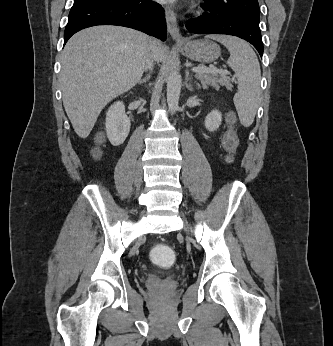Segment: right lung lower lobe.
Wrapping results in <instances>:
<instances>
[{"label":"right lung lower lobe","mask_w":333,"mask_h":346,"mask_svg":"<svg viewBox=\"0 0 333 346\" xmlns=\"http://www.w3.org/2000/svg\"><path fill=\"white\" fill-rule=\"evenodd\" d=\"M96 25H117L166 40L164 9L152 0L75 1L64 31V45L76 32Z\"/></svg>","instance_id":"1"}]
</instances>
